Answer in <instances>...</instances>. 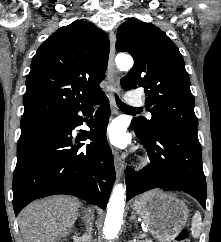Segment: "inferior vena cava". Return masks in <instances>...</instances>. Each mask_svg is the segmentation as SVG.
Returning <instances> with one entry per match:
<instances>
[{
  "instance_id": "inferior-vena-cava-1",
  "label": "inferior vena cava",
  "mask_w": 221,
  "mask_h": 242,
  "mask_svg": "<svg viewBox=\"0 0 221 242\" xmlns=\"http://www.w3.org/2000/svg\"><path fill=\"white\" fill-rule=\"evenodd\" d=\"M93 219V216H91L87 220V232L83 236L84 242H91V231H92V223L90 222Z\"/></svg>"
}]
</instances>
